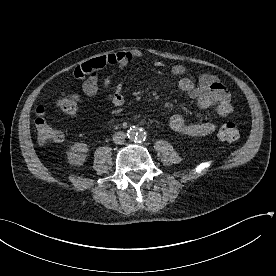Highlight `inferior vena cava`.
Returning <instances> with one entry per match:
<instances>
[{
	"label": "inferior vena cava",
	"instance_id": "obj_1",
	"mask_svg": "<svg viewBox=\"0 0 276 276\" xmlns=\"http://www.w3.org/2000/svg\"><path fill=\"white\" fill-rule=\"evenodd\" d=\"M125 133L123 132H116L114 135H113V140L116 144H123L124 143V140H125Z\"/></svg>",
	"mask_w": 276,
	"mask_h": 276
}]
</instances>
